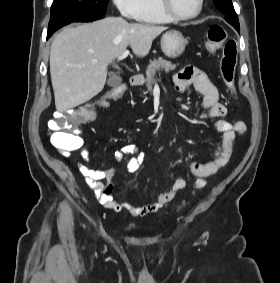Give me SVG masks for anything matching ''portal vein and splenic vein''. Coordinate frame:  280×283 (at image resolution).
<instances>
[{"label":"portal vein and splenic vein","mask_w":280,"mask_h":283,"mask_svg":"<svg viewBox=\"0 0 280 283\" xmlns=\"http://www.w3.org/2000/svg\"><path fill=\"white\" fill-rule=\"evenodd\" d=\"M129 55V51L128 50H125L121 55H119L117 57L118 60H122L124 58H126L127 56Z\"/></svg>","instance_id":"18ae733b"}]
</instances>
